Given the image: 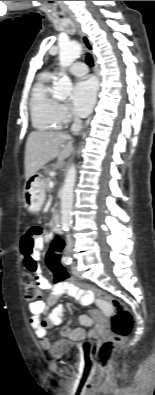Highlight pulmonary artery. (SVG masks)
Segmentation results:
<instances>
[{
    "mask_svg": "<svg viewBox=\"0 0 155 395\" xmlns=\"http://www.w3.org/2000/svg\"><path fill=\"white\" fill-rule=\"evenodd\" d=\"M69 72H70L72 75H74V76L81 77V76H84V75L87 74L88 69H87V66H86L84 63H82V62H77V63H74V64L69 68ZM56 74H58V73H57V72H54V73H53V75H56Z\"/></svg>",
    "mask_w": 155,
    "mask_h": 395,
    "instance_id": "obj_1",
    "label": "pulmonary artery"
}]
</instances>
